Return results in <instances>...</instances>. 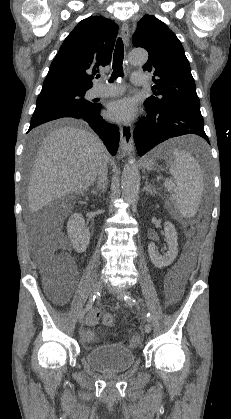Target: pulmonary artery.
Instances as JSON below:
<instances>
[{"label":"pulmonary artery","instance_id":"e3ab8cb5","mask_svg":"<svg viewBox=\"0 0 231 419\" xmlns=\"http://www.w3.org/2000/svg\"><path fill=\"white\" fill-rule=\"evenodd\" d=\"M147 81L146 75L140 72H135L131 75V82L134 85H144ZM124 87L120 84H98L90 91L91 98L116 96L123 92Z\"/></svg>","mask_w":231,"mask_h":419}]
</instances>
